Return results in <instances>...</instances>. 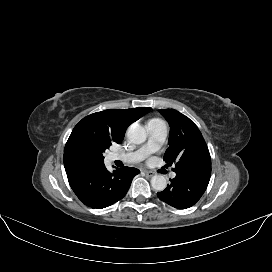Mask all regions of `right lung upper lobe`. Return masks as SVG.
Returning <instances> with one entry per match:
<instances>
[{"mask_svg": "<svg viewBox=\"0 0 272 272\" xmlns=\"http://www.w3.org/2000/svg\"><path fill=\"white\" fill-rule=\"evenodd\" d=\"M151 110L149 107H139L133 109H108L93 113L83 118L73 129L64 149V167L66 173L90 169L100 165H95L82 159L73 148L74 138L82 132H89L104 136L113 143L120 144L128 126L141 118Z\"/></svg>", "mask_w": 272, "mask_h": 272, "instance_id": "obj_1", "label": "right lung upper lobe"}]
</instances>
